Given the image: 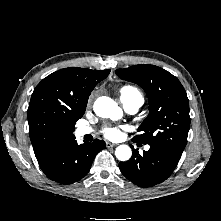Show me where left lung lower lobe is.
<instances>
[{
    "label": "left lung lower lobe",
    "mask_w": 221,
    "mask_h": 221,
    "mask_svg": "<svg viewBox=\"0 0 221 221\" xmlns=\"http://www.w3.org/2000/svg\"><path fill=\"white\" fill-rule=\"evenodd\" d=\"M132 154L129 161L119 163V168L128 180L140 187H151L165 181L181 158V154L158 145H150L142 156L133 148Z\"/></svg>",
    "instance_id": "1"
}]
</instances>
